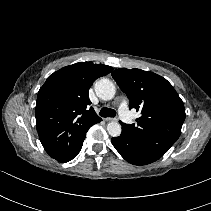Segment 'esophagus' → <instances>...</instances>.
I'll list each match as a JSON object with an SVG mask.
<instances>
[{
    "label": "esophagus",
    "instance_id": "esophagus-1",
    "mask_svg": "<svg viewBox=\"0 0 211 211\" xmlns=\"http://www.w3.org/2000/svg\"><path fill=\"white\" fill-rule=\"evenodd\" d=\"M106 121H118L117 118L108 117L105 119Z\"/></svg>",
    "mask_w": 211,
    "mask_h": 211
}]
</instances>
